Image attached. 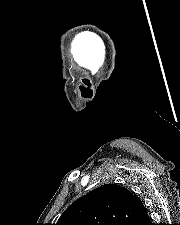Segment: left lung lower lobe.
<instances>
[{
    "mask_svg": "<svg viewBox=\"0 0 180 225\" xmlns=\"http://www.w3.org/2000/svg\"><path fill=\"white\" fill-rule=\"evenodd\" d=\"M129 225H151L147 211L143 212L141 215L132 220Z\"/></svg>",
    "mask_w": 180,
    "mask_h": 225,
    "instance_id": "0a47b994",
    "label": "left lung lower lobe"
}]
</instances>
